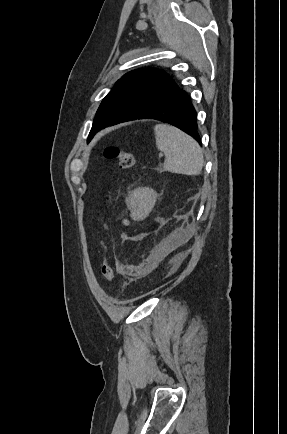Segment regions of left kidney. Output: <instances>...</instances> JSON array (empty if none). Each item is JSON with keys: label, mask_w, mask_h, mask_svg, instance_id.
<instances>
[{"label": "left kidney", "mask_w": 287, "mask_h": 434, "mask_svg": "<svg viewBox=\"0 0 287 434\" xmlns=\"http://www.w3.org/2000/svg\"><path fill=\"white\" fill-rule=\"evenodd\" d=\"M157 194L153 189L141 187L134 190L128 199L133 214H141L152 209L156 202Z\"/></svg>", "instance_id": "obj_1"}]
</instances>
